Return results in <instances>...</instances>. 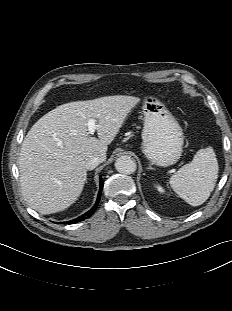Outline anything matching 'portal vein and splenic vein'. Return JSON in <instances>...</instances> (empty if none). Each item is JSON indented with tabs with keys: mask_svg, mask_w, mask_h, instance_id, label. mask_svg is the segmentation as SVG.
I'll return each instance as SVG.
<instances>
[{
	"mask_svg": "<svg viewBox=\"0 0 232 311\" xmlns=\"http://www.w3.org/2000/svg\"><path fill=\"white\" fill-rule=\"evenodd\" d=\"M89 134L93 135L97 129L96 121L94 119H89L87 122Z\"/></svg>",
	"mask_w": 232,
	"mask_h": 311,
	"instance_id": "18ae733b",
	"label": "portal vein and splenic vein"
}]
</instances>
